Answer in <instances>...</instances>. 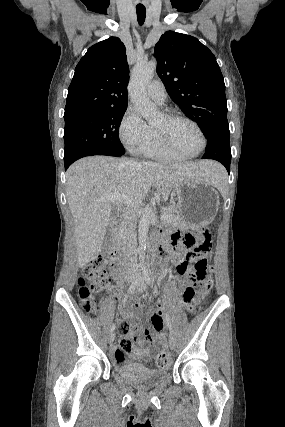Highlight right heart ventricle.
I'll return each mask as SVG.
<instances>
[{
    "label": "right heart ventricle",
    "mask_w": 285,
    "mask_h": 427,
    "mask_svg": "<svg viewBox=\"0 0 285 427\" xmlns=\"http://www.w3.org/2000/svg\"><path fill=\"white\" fill-rule=\"evenodd\" d=\"M150 133V140L140 154L161 161H181L185 159V157L170 151L162 145L153 126H150Z\"/></svg>",
    "instance_id": "1"
}]
</instances>
